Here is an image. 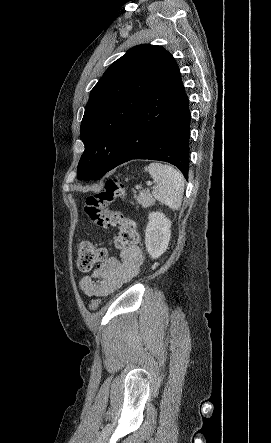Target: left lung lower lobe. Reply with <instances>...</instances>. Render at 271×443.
Listing matches in <instances>:
<instances>
[{
	"label": "left lung lower lobe",
	"mask_w": 271,
	"mask_h": 443,
	"mask_svg": "<svg viewBox=\"0 0 271 443\" xmlns=\"http://www.w3.org/2000/svg\"><path fill=\"white\" fill-rule=\"evenodd\" d=\"M180 71L172 59L148 90L125 131L109 171L132 159L169 162L186 180L191 114Z\"/></svg>",
	"instance_id": "left-lung-lower-lobe-1"
}]
</instances>
